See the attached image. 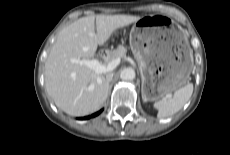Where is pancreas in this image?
<instances>
[{
    "label": "pancreas",
    "mask_w": 230,
    "mask_h": 155,
    "mask_svg": "<svg viewBox=\"0 0 230 155\" xmlns=\"http://www.w3.org/2000/svg\"><path fill=\"white\" fill-rule=\"evenodd\" d=\"M126 54V48L124 46H118L117 49L112 50L109 52V55L106 59V61L109 63L110 61L121 58Z\"/></svg>",
    "instance_id": "pancreas-1"
}]
</instances>
